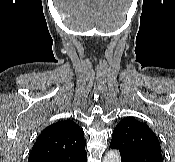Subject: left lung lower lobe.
<instances>
[{"mask_svg":"<svg viewBox=\"0 0 175 162\" xmlns=\"http://www.w3.org/2000/svg\"><path fill=\"white\" fill-rule=\"evenodd\" d=\"M111 148H114L110 146ZM121 162H163L161 153L144 151L136 154L121 153Z\"/></svg>","mask_w":175,"mask_h":162,"instance_id":"left-lung-lower-lobe-1","label":"left lung lower lobe"}]
</instances>
